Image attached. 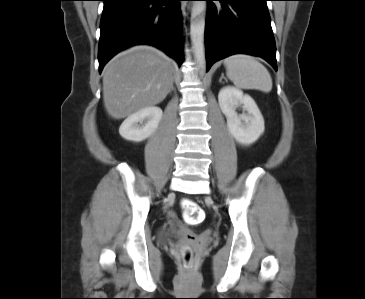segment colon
Listing matches in <instances>:
<instances>
[{
    "label": "colon",
    "mask_w": 365,
    "mask_h": 299,
    "mask_svg": "<svg viewBox=\"0 0 365 299\" xmlns=\"http://www.w3.org/2000/svg\"><path fill=\"white\" fill-rule=\"evenodd\" d=\"M182 207L187 223L191 225H196L201 223L205 219V214L203 213L199 205L193 200L185 199L182 202ZM183 259L185 264H189L192 259L191 253L185 252L183 255Z\"/></svg>",
    "instance_id": "obj_1"
}]
</instances>
